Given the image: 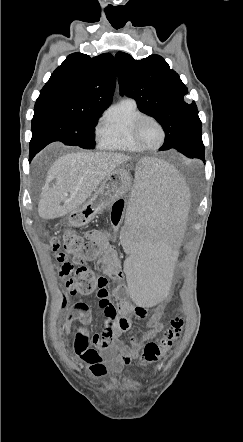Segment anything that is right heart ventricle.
<instances>
[{
    "label": "right heart ventricle",
    "mask_w": 243,
    "mask_h": 442,
    "mask_svg": "<svg viewBox=\"0 0 243 442\" xmlns=\"http://www.w3.org/2000/svg\"><path fill=\"white\" fill-rule=\"evenodd\" d=\"M145 114L137 102L125 98L113 105L97 129V140L106 150L140 153L143 151L133 140L132 127L138 117Z\"/></svg>",
    "instance_id": "obj_1"
}]
</instances>
